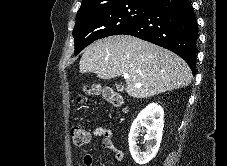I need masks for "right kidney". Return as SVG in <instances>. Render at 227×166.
<instances>
[{"label":"right kidney","instance_id":"obj_1","mask_svg":"<svg viewBox=\"0 0 227 166\" xmlns=\"http://www.w3.org/2000/svg\"><path fill=\"white\" fill-rule=\"evenodd\" d=\"M164 127V110L157 103H150L134 120L129 132V149L134 161L140 165L152 160L160 147ZM146 132L144 139L147 141L145 152H140L138 136Z\"/></svg>","mask_w":227,"mask_h":166}]
</instances>
